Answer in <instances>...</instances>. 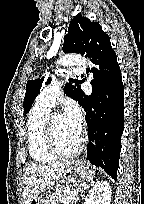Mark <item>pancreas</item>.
Wrapping results in <instances>:
<instances>
[{"mask_svg":"<svg viewBox=\"0 0 144 204\" xmlns=\"http://www.w3.org/2000/svg\"><path fill=\"white\" fill-rule=\"evenodd\" d=\"M75 188L71 186H63L58 188L55 193L52 195L51 202H48L47 204H76L77 198L71 193L65 192V190H74Z\"/></svg>","mask_w":144,"mask_h":204,"instance_id":"cf45deb5","label":"pancreas"}]
</instances>
